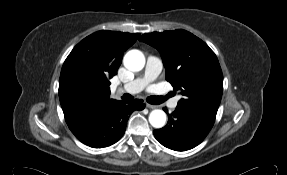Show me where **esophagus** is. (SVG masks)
I'll list each match as a JSON object with an SVG mask.
<instances>
[{"label":"esophagus","mask_w":287,"mask_h":175,"mask_svg":"<svg viewBox=\"0 0 287 175\" xmlns=\"http://www.w3.org/2000/svg\"><path fill=\"white\" fill-rule=\"evenodd\" d=\"M146 107H148L149 109H156V108H158V106L152 105L150 103H146Z\"/></svg>","instance_id":"obj_1"}]
</instances>
